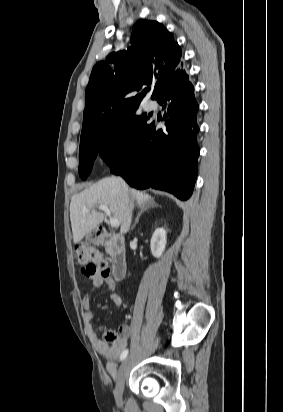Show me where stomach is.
Instances as JSON below:
<instances>
[{"mask_svg": "<svg viewBox=\"0 0 283 412\" xmlns=\"http://www.w3.org/2000/svg\"><path fill=\"white\" fill-rule=\"evenodd\" d=\"M86 239H87L88 241H90V242H94V241H95V238L93 237V235H92L91 233H88V234H87Z\"/></svg>", "mask_w": 283, "mask_h": 412, "instance_id": "1", "label": "stomach"}]
</instances>
